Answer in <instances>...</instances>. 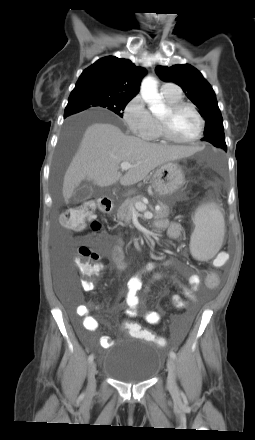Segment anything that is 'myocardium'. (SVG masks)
Segmentation results:
<instances>
[{
    "instance_id": "obj_1",
    "label": "myocardium",
    "mask_w": 255,
    "mask_h": 440,
    "mask_svg": "<svg viewBox=\"0 0 255 440\" xmlns=\"http://www.w3.org/2000/svg\"><path fill=\"white\" fill-rule=\"evenodd\" d=\"M167 109H168L169 115L165 118L159 119V124L161 127L162 136L164 137L165 140L172 142V143L185 145V144L195 143L196 141H198L202 137L203 131L205 128V120H204L203 116L201 115V113L192 104L186 103V102H180V103H176L173 105H169ZM184 109L191 110L196 115V117L199 121V128H198L196 135L190 139H187V140H181V139L176 138L171 130V118L175 114H177L178 112H180L181 110H184Z\"/></svg>"
}]
</instances>
